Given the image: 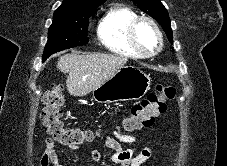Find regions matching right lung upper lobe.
I'll list each match as a JSON object with an SVG mask.
<instances>
[{
    "label": "right lung upper lobe",
    "mask_w": 227,
    "mask_h": 166,
    "mask_svg": "<svg viewBox=\"0 0 227 166\" xmlns=\"http://www.w3.org/2000/svg\"><path fill=\"white\" fill-rule=\"evenodd\" d=\"M104 1L105 0H64L62 5L54 13L82 12L90 8H95L104 3Z\"/></svg>",
    "instance_id": "1"
}]
</instances>
